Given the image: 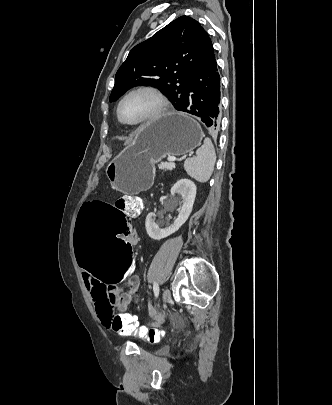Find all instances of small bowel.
Segmentation results:
<instances>
[{
	"label": "small bowel",
	"mask_w": 332,
	"mask_h": 405,
	"mask_svg": "<svg viewBox=\"0 0 332 405\" xmlns=\"http://www.w3.org/2000/svg\"><path fill=\"white\" fill-rule=\"evenodd\" d=\"M134 240L135 244L139 241V235L136 229H134ZM83 269L84 268H82V270ZM82 276L101 323L105 327L113 329L112 317L114 309L117 308L120 311H128L129 304L140 286L139 276L137 274L134 275V280L124 282L122 287H105L103 283L96 281L95 275H84L83 272ZM116 332L121 333V331Z\"/></svg>",
	"instance_id": "c3829d8e"
}]
</instances>
